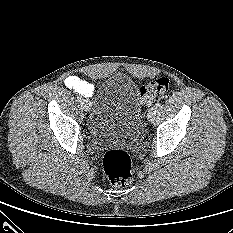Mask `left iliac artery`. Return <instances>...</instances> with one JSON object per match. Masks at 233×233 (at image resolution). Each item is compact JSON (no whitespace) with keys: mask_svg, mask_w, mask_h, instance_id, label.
<instances>
[{"mask_svg":"<svg viewBox=\"0 0 233 233\" xmlns=\"http://www.w3.org/2000/svg\"><path fill=\"white\" fill-rule=\"evenodd\" d=\"M155 107H156V109L160 108L161 107V103L160 102L156 103Z\"/></svg>","mask_w":233,"mask_h":233,"instance_id":"44dca946","label":"left iliac artery"}]
</instances>
